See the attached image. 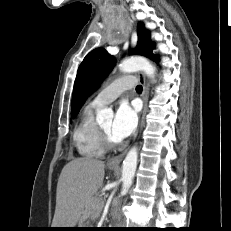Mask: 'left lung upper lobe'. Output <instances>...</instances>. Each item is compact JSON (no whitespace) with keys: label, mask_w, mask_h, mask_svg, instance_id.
<instances>
[{"label":"left lung upper lobe","mask_w":231,"mask_h":231,"mask_svg":"<svg viewBox=\"0 0 231 231\" xmlns=\"http://www.w3.org/2000/svg\"><path fill=\"white\" fill-rule=\"evenodd\" d=\"M138 42L131 51L134 55H143L151 58L154 54V43L150 40V34L144 24L137 27ZM115 65V59L104 48H97L86 55L78 68L77 77L72 95L71 116L75 118L83 103L91 95L110 73Z\"/></svg>","instance_id":"obj_1"}]
</instances>
